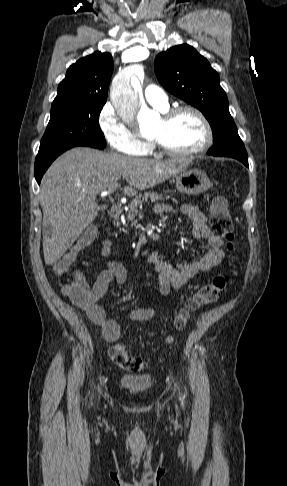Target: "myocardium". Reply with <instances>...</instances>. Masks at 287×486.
Returning a JSON list of instances; mask_svg holds the SVG:
<instances>
[{
	"instance_id": "obj_1",
	"label": "myocardium",
	"mask_w": 287,
	"mask_h": 486,
	"mask_svg": "<svg viewBox=\"0 0 287 486\" xmlns=\"http://www.w3.org/2000/svg\"><path fill=\"white\" fill-rule=\"evenodd\" d=\"M183 113L194 114L200 120V122L202 123V126L204 128V141L200 146H198L194 149L185 150V151H177V150H173V149L166 147L164 144H162L157 139H150L151 145L154 148H156L157 150H159L164 155H167V156H170V157H178V158L190 157V156H194V155H197V154H200V153L207 151L213 143L214 135H213V130H212V127H211L209 120L207 119V117L205 116V114L202 111H200L198 108H196L194 106L183 105V106H178V107H174L172 109H169L163 114L162 119L165 122H170L174 118H176L177 116H179Z\"/></svg>"
}]
</instances>
